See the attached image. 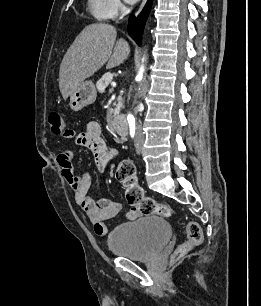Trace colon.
Instances as JSON below:
<instances>
[{"label":"colon","mask_w":261,"mask_h":306,"mask_svg":"<svg viewBox=\"0 0 261 306\" xmlns=\"http://www.w3.org/2000/svg\"><path fill=\"white\" fill-rule=\"evenodd\" d=\"M49 123L54 135H70L71 131L67 130L65 120L59 112H52L49 115ZM115 177L125 187L127 202L137 212L143 215H159L162 217L171 215V209L167 205L157 203L145 194L138 183L135 166L131 161H120L115 170ZM201 241L202 230L200 226L196 222H189L186 226V240L174 252L173 260L181 258L192 247L199 245Z\"/></svg>","instance_id":"5ec220e1"}]
</instances>
